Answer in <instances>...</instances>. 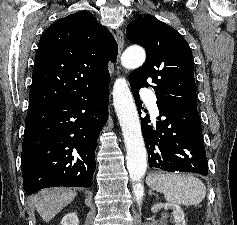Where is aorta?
Returning <instances> with one entry per match:
<instances>
[{
	"mask_svg": "<svg viewBox=\"0 0 237 225\" xmlns=\"http://www.w3.org/2000/svg\"><path fill=\"white\" fill-rule=\"evenodd\" d=\"M145 58L144 49L138 46H131L123 52L121 63L127 69H135L144 63ZM113 104L124 137L127 152V169L132 182H134L133 191L137 199H140L143 196L144 188L139 181L147 169V151L137 108L124 78H118L114 83Z\"/></svg>",
	"mask_w": 237,
	"mask_h": 225,
	"instance_id": "obj_1",
	"label": "aorta"
}]
</instances>
